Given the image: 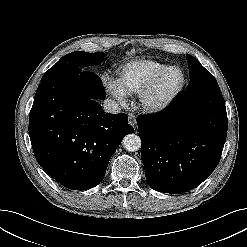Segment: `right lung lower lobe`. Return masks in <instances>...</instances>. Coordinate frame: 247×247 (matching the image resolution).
Listing matches in <instances>:
<instances>
[{
  "mask_svg": "<svg viewBox=\"0 0 247 247\" xmlns=\"http://www.w3.org/2000/svg\"><path fill=\"white\" fill-rule=\"evenodd\" d=\"M101 79L81 68L43 76L29 116L37 162L66 188L90 189L105 176L122 138L133 133L124 113H104Z\"/></svg>",
  "mask_w": 247,
  "mask_h": 247,
  "instance_id": "obj_1",
  "label": "right lung lower lobe"
}]
</instances>
